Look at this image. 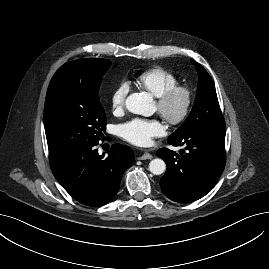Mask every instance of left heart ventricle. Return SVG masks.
I'll return each mask as SVG.
<instances>
[{"label": "left heart ventricle", "mask_w": 269, "mask_h": 269, "mask_svg": "<svg viewBox=\"0 0 269 269\" xmlns=\"http://www.w3.org/2000/svg\"><path fill=\"white\" fill-rule=\"evenodd\" d=\"M182 104V98L181 97H176L174 101L172 102L171 108L173 111H177L180 109ZM155 109L158 110L157 104H155Z\"/></svg>", "instance_id": "left-heart-ventricle-1"}]
</instances>
